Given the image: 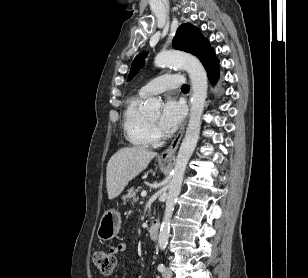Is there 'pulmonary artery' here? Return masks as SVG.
Here are the masks:
<instances>
[{
  "mask_svg": "<svg viewBox=\"0 0 308 278\" xmlns=\"http://www.w3.org/2000/svg\"><path fill=\"white\" fill-rule=\"evenodd\" d=\"M184 83V78L178 74H167L159 76L139 90V95L143 97L160 94L166 90L174 89Z\"/></svg>",
  "mask_w": 308,
  "mask_h": 278,
  "instance_id": "e3ab8cb5",
  "label": "pulmonary artery"
}]
</instances>
